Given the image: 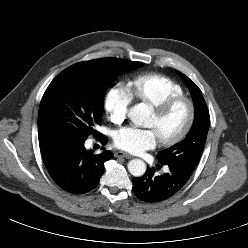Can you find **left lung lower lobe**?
<instances>
[{
  "instance_id": "obj_1",
  "label": "left lung lower lobe",
  "mask_w": 248,
  "mask_h": 248,
  "mask_svg": "<svg viewBox=\"0 0 248 248\" xmlns=\"http://www.w3.org/2000/svg\"><path fill=\"white\" fill-rule=\"evenodd\" d=\"M169 171L155 176L154 168H147L142 177L132 179L133 192L141 201L157 203L176 195L187 183L191 173L174 165H167Z\"/></svg>"
}]
</instances>
